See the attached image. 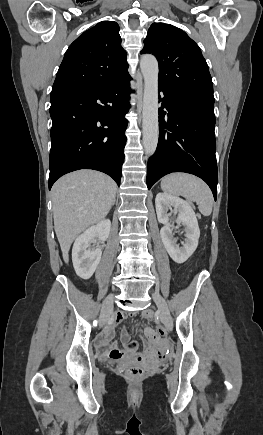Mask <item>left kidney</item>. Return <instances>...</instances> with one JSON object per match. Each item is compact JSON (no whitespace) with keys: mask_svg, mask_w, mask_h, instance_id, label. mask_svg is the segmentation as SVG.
<instances>
[{"mask_svg":"<svg viewBox=\"0 0 263 435\" xmlns=\"http://www.w3.org/2000/svg\"><path fill=\"white\" fill-rule=\"evenodd\" d=\"M158 221L164 226L160 230L162 242L172 260L178 264L184 263L196 250L200 237L198 221L191 205L168 193H158L155 198ZM171 211L170 213L168 211ZM177 214V223L185 228V240L182 246L177 244L169 224L170 216Z\"/></svg>","mask_w":263,"mask_h":435,"instance_id":"left-kidney-1","label":"left kidney"}]
</instances>
